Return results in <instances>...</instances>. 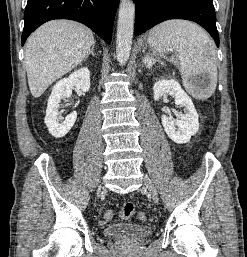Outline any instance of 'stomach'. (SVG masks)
<instances>
[{"instance_id":"1","label":"stomach","mask_w":247,"mask_h":257,"mask_svg":"<svg viewBox=\"0 0 247 257\" xmlns=\"http://www.w3.org/2000/svg\"><path fill=\"white\" fill-rule=\"evenodd\" d=\"M152 55H155V53L153 52V53H151Z\"/></svg>"}]
</instances>
